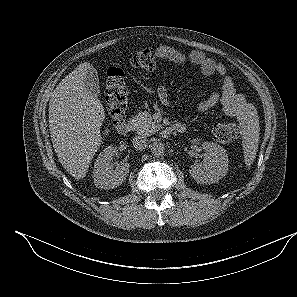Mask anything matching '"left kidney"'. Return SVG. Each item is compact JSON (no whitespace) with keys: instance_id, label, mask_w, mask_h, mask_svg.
Listing matches in <instances>:
<instances>
[{"instance_id":"1","label":"left kidney","mask_w":297,"mask_h":297,"mask_svg":"<svg viewBox=\"0 0 297 297\" xmlns=\"http://www.w3.org/2000/svg\"><path fill=\"white\" fill-rule=\"evenodd\" d=\"M194 143L198 140H193ZM205 151L203 164H194L190 167V174L200 184L218 182L228 172V156L226 150L216 143L203 142Z\"/></svg>"}]
</instances>
